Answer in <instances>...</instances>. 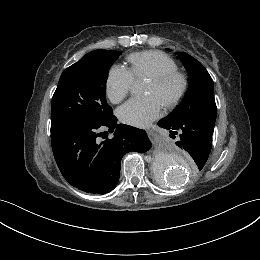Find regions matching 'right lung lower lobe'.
Wrapping results in <instances>:
<instances>
[{"instance_id":"1","label":"right lung lower lobe","mask_w":260,"mask_h":260,"mask_svg":"<svg viewBox=\"0 0 260 260\" xmlns=\"http://www.w3.org/2000/svg\"><path fill=\"white\" fill-rule=\"evenodd\" d=\"M116 121L111 115L102 123L51 128L54 158L72 186L88 193H108L118 183L122 157L129 151L144 153L151 148L144 130ZM106 128L114 131V137L100 141L106 133L101 130Z\"/></svg>"}]
</instances>
